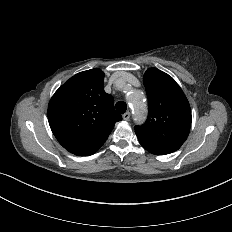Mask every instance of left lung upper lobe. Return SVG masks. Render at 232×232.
<instances>
[{
  "label": "left lung upper lobe",
  "instance_id": "5c2ea615",
  "mask_svg": "<svg viewBox=\"0 0 232 232\" xmlns=\"http://www.w3.org/2000/svg\"><path fill=\"white\" fill-rule=\"evenodd\" d=\"M148 97V118L144 125L135 126L143 147L178 150L188 137L191 109L182 89L175 80L157 68H149L143 78Z\"/></svg>",
  "mask_w": 232,
  "mask_h": 232
}]
</instances>
